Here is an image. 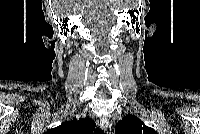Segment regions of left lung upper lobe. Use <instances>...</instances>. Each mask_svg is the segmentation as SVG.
Segmentation results:
<instances>
[{
	"label": "left lung upper lobe",
	"instance_id": "1",
	"mask_svg": "<svg viewBox=\"0 0 200 134\" xmlns=\"http://www.w3.org/2000/svg\"><path fill=\"white\" fill-rule=\"evenodd\" d=\"M116 134H156L155 130L146 126L134 115H126L115 126Z\"/></svg>",
	"mask_w": 200,
	"mask_h": 134
}]
</instances>
